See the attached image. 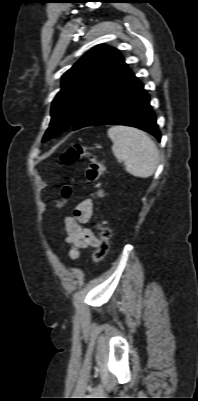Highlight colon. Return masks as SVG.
<instances>
[{
    "mask_svg": "<svg viewBox=\"0 0 198 401\" xmlns=\"http://www.w3.org/2000/svg\"><path fill=\"white\" fill-rule=\"evenodd\" d=\"M82 158H86L89 162L86 169V177L89 182L94 183L96 191L93 197L97 200L104 197V189L100 183V178L104 171L103 162L95 155L94 149L91 147L84 146L76 143L65 150L60 156V163L63 165H72ZM72 189L69 186H65L62 189L63 199L56 202V206L61 207L65 204V201L70 197ZM98 231V245L93 254V259L96 262L102 260L109 249V240L111 238V230L105 222H98L96 225Z\"/></svg>",
    "mask_w": 198,
    "mask_h": 401,
    "instance_id": "5ec220e1",
    "label": "colon"
}]
</instances>
